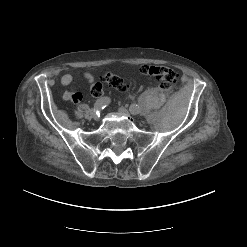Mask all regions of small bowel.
Here are the masks:
<instances>
[{
	"label": "small bowel",
	"instance_id": "c3829d8e",
	"mask_svg": "<svg viewBox=\"0 0 247 247\" xmlns=\"http://www.w3.org/2000/svg\"><path fill=\"white\" fill-rule=\"evenodd\" d=\"M83 76L87 80L88 83H92L94 81L93 75L91 73H89V72H85L83 74ZM60 81H61V84L63 86H68V85H70L72 83L73 77L70 74H65V75H63L61 77ZM63 98L65 100H71V101H73L75 103H78V102H80L82 100V95L79 92H69V91H66L63 94Z\"/></svg>",
	"mask_w": 247,
	"mask_h": 247
}]
</instances>
